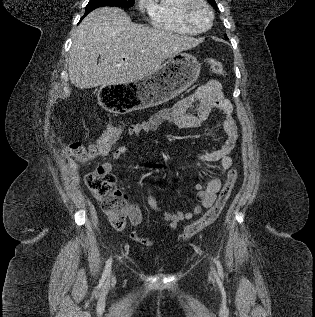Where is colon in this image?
I'll use <instances>...</instances> for the list:
<instances>
[{"instance_id":"1","label":"colon","mask_w":315,"mask_h":317,"mask_svg":"<svg viewBox=\"0 0 315 317\" xmlns=\"http://www.w3.org/2000/svg\"><path fill=\"white\" fill-rule=\"evenodd\" d=\"M206 63L213 73L224 74L223 64L219 60L208 59ZM121 130L122 125H110L94 144L85 146L80 142H73L68 145L67 152L77 162H90L109 152ZM84 180L95 198L101 202L103 212L110 224L114 228L122 230L126 225L129 202L127 197L116 187L113 175L100 166L86 173ZM236 181L237 171L231 169L214 205L199 220L185 228L182 235L184 240L195 236L218 219L232 194Z\"/></svg>"}]
</instances>
